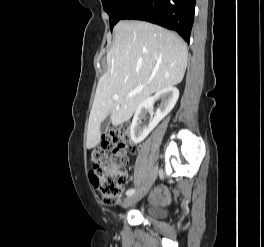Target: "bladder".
<instances>
[{
	"label": "bladder",
	"instance_id": "bladder-1",
	"mask_svg": "<svg viewBox=\"0 0 264 247\" xmlns=\"http://www.w3.org/2000/svg\"><path fill=\"white\" fill-rule=\"evenodd\" d=\"M147 215L149 218L155 221H162L165 219L166 215L162 208L160 207H148Z\"/></svg>",
	"mask_w": 264,
	"mask_h": 247
}]
</instances>
